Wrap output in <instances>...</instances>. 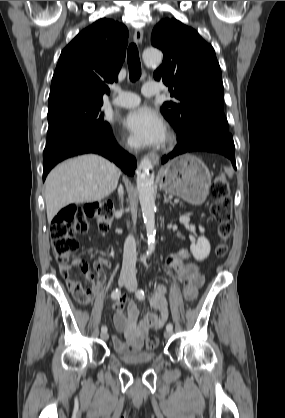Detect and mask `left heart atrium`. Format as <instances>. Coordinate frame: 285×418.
I'll return each instance as SVG.
<instances>
[{
    "label": "left heart atrium",
    "instance_id": "obj_1",
    "mask_svg": "<svg viewBox=\"0 0 285 418\" xmlns=\"http://www.w3.org/2000/svg\"><path fill=\"white\" fill-rule=\"evenodd\" d=\"M125 127L134 140L141 144L159 143L165 135V122L153 108L133 109L125 119Z\"/></svg>",
    "mask_w": 285,
    "mask_h": 418
}]
</instances>
